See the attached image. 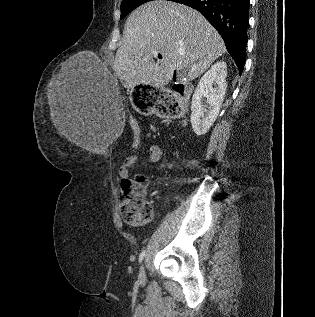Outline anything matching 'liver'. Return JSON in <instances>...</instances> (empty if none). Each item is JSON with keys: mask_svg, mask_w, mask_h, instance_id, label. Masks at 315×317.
<instances>
[{"mask_svg": "<svg viewBox=\"0 0 315 317\" xmlns=\"http://www.w3.org/2000/svg\"><path fill=\"white\" fill-rule=\"evenodd\" d=\"M225 44L215 28L196 10L167 0L148 2L128 17L113 69L122 85L163 87L175 71L193 80L220 55ZM160 53L163 58L153 61ZM195 67V71H190ZM64 80L52 94L50 115L56 129L69 141L84 146L80 114ZM116 109V108H115ZM119 112L122 109H116Z\"/></svg>", "mask_w": 315, "mask_h": 317, "instance_id": "obj_1", "label": "liver"}]
</instances>
